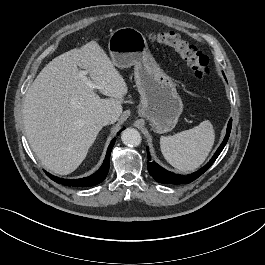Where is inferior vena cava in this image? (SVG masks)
<instances>
[{
  "mask_svg": "<svg viewBox=\"0 0 265 265\" xmlns=\"http://www.w3.org/2000/svg\"><path fill=\"white\" fill-rule=\"evenodd\" d=\"M115 121L114 116H112L111 114L107 113V112H103L99 115H97L96 117V122L102 126L111 124Z\"/></svg>",
  "mask_w": 265,
  "mask_h": 265,
  "instance_id": "602c4592",
  "label": "inferior vena cava"
}]
</instances>
